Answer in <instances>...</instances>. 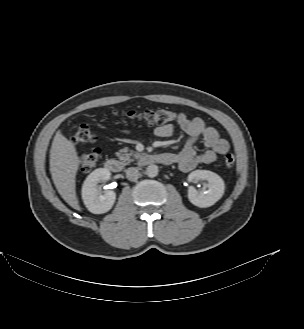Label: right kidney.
<instances>
[{"label": "right kidney", "mask_w": 304, "mask_h": 329, "mask_svg": "<svg viewBox=\"0 0 304 329\" xmlns=\"http://www.w3.org/2000/svg\"><path fill=\"white\" fill-rule=\"evenodd\" d=\"M110 171L98 168L88 175L82 186V199L86 208L93 214H102L109 211L114 205L116 194L108 190L102 194L98 183L106 182L110 178Z\"/></svg>", "instance_id": "right-kidney-1"}]
</instances>
